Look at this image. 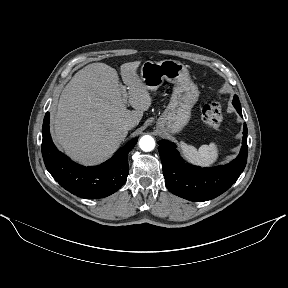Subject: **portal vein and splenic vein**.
Segmentation results:
<instances>
[{"label": "portal vein and splenic vein", "mask_w": 288, "mask_h": 288, "mask_svg": "<svg viewBox=\"0 0 288 288\" xmlns=\"http://www.w3.org/2000/svg\"><path fill=\"white\" fill-rule=\"evenodd\" d=\"M122 93H123V102H126L127 98H128V95H127L125 89H123Z\"/></svg>", "instance_id": "obj_1"}]
</instances>
